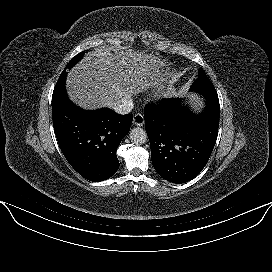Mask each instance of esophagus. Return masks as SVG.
<instances>
[{"instance_id":"1","label":"esophagus","mask_w":272,"mask_h":272,"mask_svg":"<svg viewBox=\"0 0 272 272\" xmlns=\"http://www.w3.org/2000/svg\"><path fill=\"white\" fill-rule=\"evenodd\" d=\"M133 124L136 126H143L144 116L141 113L135 114L133 118Z\"/></svg>"}]
</instances>
